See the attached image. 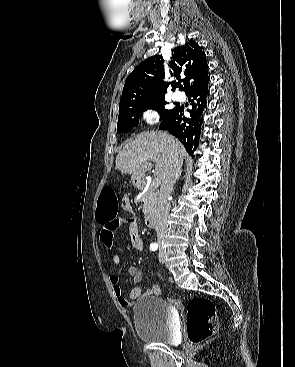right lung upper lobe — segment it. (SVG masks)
<instances>
[{"mask_svg":"<svg viewBox=\"0 0 295 367\" xmlns=\"http://www.w3.org/2000/svg\"><path fill=\"white\" fill-rule=\"evenodd\" d=\"M163 62L161 55H155L147 58L133 70L126 79L119 109L132 101H146L164 96L169 86L172 90L179 87L188 93L209 81L205 52L195 41L191 40L172 51L169 62L171 75H174L178 82L163 81L165 75Z\"/></svg>","mask_w":295,"mask_h":367,"instance_id":"obj_1","label":"right lung upper lobe"}]
</instances>
